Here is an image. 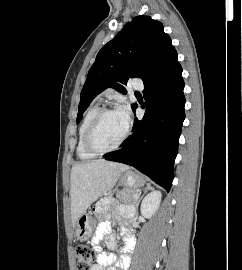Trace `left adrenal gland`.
I'll use <instances>...</instances> for the list:
<instances>
[{
  "mask_svg": "<svg viewBox=\"0 0 242 270\" xmlns=\"http://www.w3.org/2000/svg\"><path fill=\"white\" fill-rule=\"evenodd\" d=\"M147 189H149V190H153V188L152 187H147ZM140 201V200H139ZM139 201H138V204H139Z\"/></svg>",
  "mask_w": 242,
  "mask_h": 270,
  "instance_id": "a2214340",
  "label": "left adrenal gland"
}]
</instances>
